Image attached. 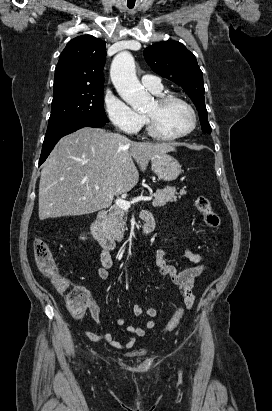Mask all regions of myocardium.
Returning <instances> with one entry per match:
<instances>
[{
	"label": "myocardium",
	"instance_id": "f54148a6",
	"mask_svg": "<svg viewBox=\"0 0 272 411\" xmlns=\"http://www.w3.org/2000/svg\"><path fill=\"white\" fill-rule=\"evenodd\" d=\"M155 101L161 108H165L173 103H180L184 105L191 113L192 124L186 131L180 134L168 135L159 129L152 116L145 114L147 131L152 137L162 141H175L187 137L196 129L198 123L197 113L194 107L187 100L173 95H159Z\"/></svg>",
	"mask_w": 272,
	"mask_h": 411
}]
</instances>
